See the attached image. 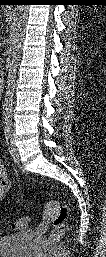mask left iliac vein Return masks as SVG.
I'll return each mask as SVG.
<instances>
[{"label": "left iliac vein", "instance_id": "4c4485c4", "mask_svg": "<svg viewBox=\"0 0 106 257\" xmlns=\"http://www.w3.org/2000/svg\"><path fill=\"white\" fill-rule=\"evenodd\" d=\"M10 152L12 155H17V147L15 146L14 139H10Z\"/></svg>", "mask_w": 106, "mask_h": 257}]
</instances>
